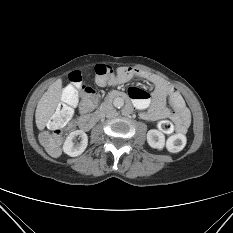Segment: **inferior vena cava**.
Wrapping results in <instances>:
<instances>
[{"mask_svg":"<svg viewBox=\"0 0 233 233\" xmlns=\"http://www.w3.org/2000/svg\"><path fill=\"white\" fill-rule=\"evenodd\" d=\"M105 115L107 118H113L117 116V111L113 108V106H108L105 110Z\"/></svg>","mask_w":233,"mask_h":233,"instance_id":"602c4592","label":"inferior vena cava"}]
</instances>
